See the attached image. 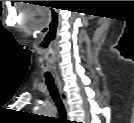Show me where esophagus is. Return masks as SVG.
Listing matches in <instances>:
<instances>
[{"label": "esophagus", "mask_w": 134, "mask_h": 123, "mask_svg": "<svg viewBox=\"0 0 134 123\" xmlns=\"http://www.w3.org/2000/svg\"><path fill=\"white\" fill-rule=\"evenodd\" d=\"M55 82H56V85L58 87V90H59V93H60V96H61V99L66 107V109H68V106H67V95L63 89V85H62V82L59 78V76L57 74H55Z\"/></svg>", "instance_id": "34e87169"}]
</instances>
